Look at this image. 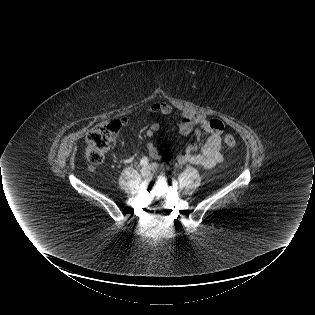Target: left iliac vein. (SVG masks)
<instances>
[{"label": "left iliac vein", "instance_id": "left-iliac-vein-1", "mask_svg": "<svg viewBox=\"0 0 315 315\" xmlns=\"http://www.w3.org/2000/svg\"><path fill=\"white\" fill-rule=\"evenodd\" d=\"M156 168H157V164H153V165H152V169L155 170ZM161 174L164 175L165 173H164V172H161Z\"/></svg>", "mask_w": 315, "mask_h": 315}]
</instances>
